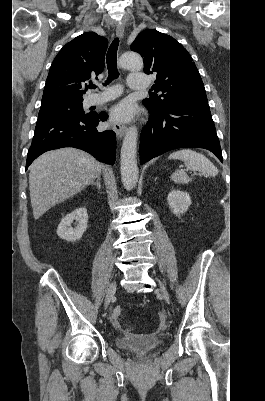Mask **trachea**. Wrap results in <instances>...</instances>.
<instances>
[{
	"mask_svg": "<svg viewBox=\"0 0 265 401\" xmlns=\"http://www.w3.org/2000/svg\"><path fill=\"white\" fill-rule=\"evenodd\" d=\"M119 46V39L115 38L113 42L111 43L108 52H107V57H106V63H107V68H108V78L104 84H109L112 80L115 78L119 77V73L117 70V50ZM89 88H96L95 85L92 83L89 84Z\"/></svg>",
	"mask_w": 265,
	"mask_h": 401,
	"instance_id": "obj_1",
	"label": "trachea"
}]
</instances>
